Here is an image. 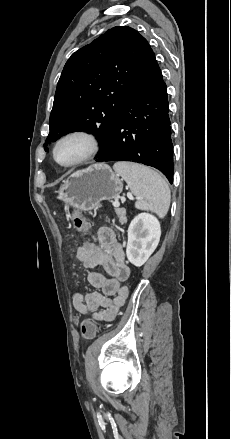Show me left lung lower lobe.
Masks as SVG:
<instances>
[{
	"label": "left lung lower lobe",
	"mask_w": 231,
	"mask_h": 439,
	"mask_svg": "<svg viewBox=\"0 0 231 439\" xmlns=\"http://www.w3.org/2000/svg\"><path fill=\"white\" fill-rule=\"evenodd\" d=\"M168 112L166 84L153 53L95 160L142 163L157 168L172 183L173 144Z\"/></svg>",
	"instance_id": "left-lung-lower-lobe-1"
}]
</instances>
